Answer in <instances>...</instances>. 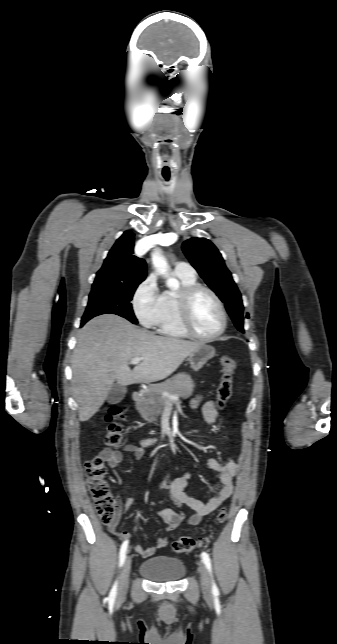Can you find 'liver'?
Wrapping results in <instances>:
<instances>
[{
  "label": "liver",
  "instance_id": "6515ba94",
  "mask_svg": "<svg viewBox=\"0 0 337 644\" xmlns=\"http://www.w3.org/2000/svg\"><path fill=\"white\" fill-rule=\"evenodd\" d=\"M202 344L156 336L113 314L93 318L79 331L72 356L79 420L99 410L115 381L126 386L163 380ZM136 357L142 361L131 370L128 364Z\"/></svg>",
  "mask_w": 337,
  "mask_h": 644
}]
</instances>
